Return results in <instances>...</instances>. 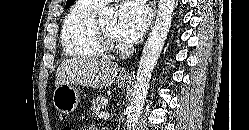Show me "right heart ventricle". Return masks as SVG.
Here are the masks:
<instances>
[{
    "label": "right heart ventricle",
    "mask_w": 249,
    "mask_h": 130,
    "mask_svg": "<svg viewBox=\"0 0 249 130\" xmlns=\"http://www.w3.org/2000/svg\"><path fill=\"white\" fill-rule=\"evenodd\" d=\"M100 6L92 0H77L69 10L61 29V43L67 56L100 57L105 54L95 35V17Z\"/></svg>",
    "instance_id": "right-heart-ventricle-1"
}]
</instances>
